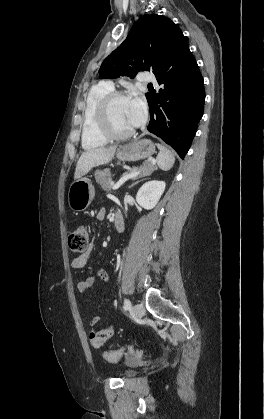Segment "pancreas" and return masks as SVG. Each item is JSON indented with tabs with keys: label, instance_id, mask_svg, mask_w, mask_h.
<instances>
[{
	"label": "pancreas",
	"instance_id": "cf45deb5",
	"mask_svg": "<svg viewBox=\"0 0 264 419\" xmlns=\"http://www.w3.org/2000/svg\"><path fill=\"white\" fill-rule=\"evenodd\" d=\"M154 169H156V167L151 162H146L143 164V166H140L139 168H133L132 170H130V172L140 171L139 175L134 177L135 179L137 177H142L150 174ZM95 179L104 191H109L113 187L111 173L108 169L96 171Z\"/></svg>",
	"mask_w": 264,
	"mask_h": 419
}]
</instances>
